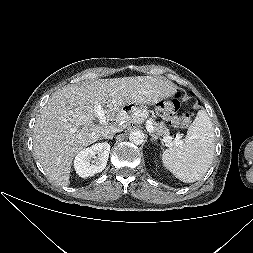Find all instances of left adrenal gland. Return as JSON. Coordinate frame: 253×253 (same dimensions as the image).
<instances>
[{
  "label": "left adrenal gland",
  "instance_id": "obj_1",
  "mask_svg": "<svg viewBox=\"0 0 253 253\" xmlns=\"http://www.w3.org/2000/svg\"><path fill=\"white\" fill-rule=\"evenodd\" d=\"M152 138H151V141L155 142L158 137L155 135V134H151Z\"/></svg>",
  "mask_w": 253,
  "mask_h": 253
}]
</instances>
